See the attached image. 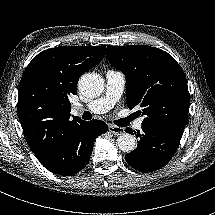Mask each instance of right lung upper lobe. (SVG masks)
<instances>
[{
    "label": "right lung upper lobe",
    "instance_id": "right-lung-upper-lobe-1",
    "mask_svg": "<svg viewBox=\"0 0 215 215\" xmlns=\"http://www.w3.org/2000/svg\"><path fill=\"white\" fill-rule=\"evenodd\" d=\"M106 46H60L45 50L29 63L18 89V117L26 141L40 162L74 123L68 96L79 77L105 56Z\"/></svg>",
    "mask_w": 215,
    "mask_h": 215
}]
</instances>
